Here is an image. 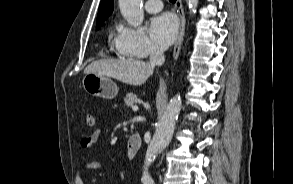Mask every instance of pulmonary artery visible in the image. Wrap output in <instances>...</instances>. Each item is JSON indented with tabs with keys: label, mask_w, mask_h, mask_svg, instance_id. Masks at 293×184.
I'll list each match as a JSON object with an SVG mask.
<instances>
[{
	"label": "pulmonary artery",
	"mask_w": 293,
	"mask_h": 184,
	"mask_svg": "<svg viewBox=\"0 0 293 184\" xmlns=\"http://www.w3.org/2000/svg\"><path fill=\"white\" fill-rule=\"evenodd\" d=\"M163 4L160 0H147L145 3V9L149 13H157L161 11Z\"/></svg>",
	"instance_id": "pulmonary-artery-1"
}]
</instances>
